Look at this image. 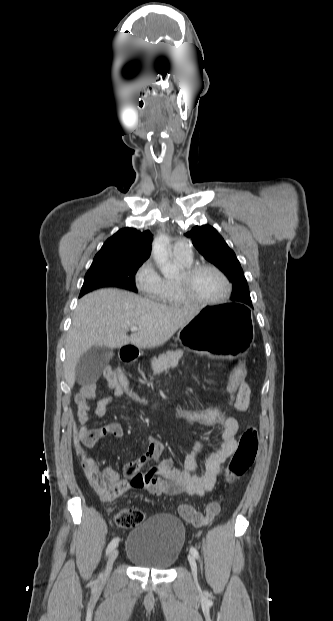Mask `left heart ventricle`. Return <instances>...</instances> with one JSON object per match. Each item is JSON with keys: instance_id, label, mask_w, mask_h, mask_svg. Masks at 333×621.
Listing matches in <instances>:
<instances>
[{"instance_id": "1", "label": "left heart ventricle", "mask_w": 333, "mask_h": 621, "mask_svg": "<svg viewBox=\"0 0 333 621\" xmlns=\"http://www.w3.org/2000/svg\"><path fill=\"white\" fill-rule=\"evenodd\" d=\"M191 290L193 295L199 299L214 300L224 294L226 286L215 272L203 270L193 278Z\"/></svg>"}]
</instances>
